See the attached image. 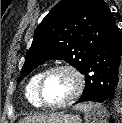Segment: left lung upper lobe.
<instances>
[{
	"label": "left lung upper lobe",
	"instance_id": "left-lung-upper-lobe-1",
	"mask_svg": "<svg viewBox=\"0 0 122 123\" xmlns=\"http://www.w3.org/2000/svg\"><path fill=\"white\" fill-rule=\"evenodd\" d=\"M114 24L115 18L102 0H61L36 28L18 82L52 59L65 60L82 73Z\"/></svg>",
	"mask_w": 122,
	"mask_h": 123
}]
</instances>
